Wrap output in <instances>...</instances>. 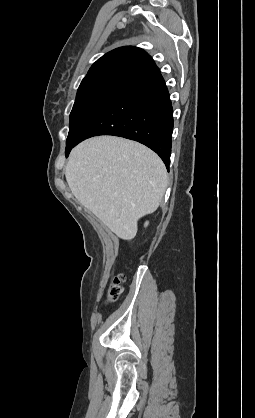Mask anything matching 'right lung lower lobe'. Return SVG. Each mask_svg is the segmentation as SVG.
Returning <instances> with one entry per match:
<instances>
[{
	"label": "right lung lower lobe",
	"instance_id": "98d812e1",
	"mask_svg": "<svg viewBox=\"0 0 255 418\" xmlns=\"http://www.w3.org/2000/svg\"><path fill=\"white\" fill-rule=\"evenodd\" d=\"M173 109L160 73L125 87L89 121L79 137L66 146V156L81 141L114 135L138 141L156 152L169 168Z\"/></svg>",
	"mask_w": 255,
	"mask_h": 418
}]
</instances>
